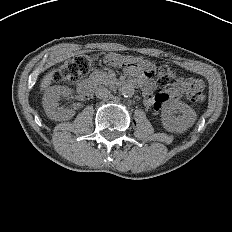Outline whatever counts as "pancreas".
Segmentation results:
<instances>
[{
  "instance_id": "1",
  "label": "pancreas",
  "mask_w": 232,
  "mask_h": 232,
  "mask_svg": "<svg viewBox=\"0 0 232 232\" xmlns=\"http://www.w3.org/2000/svg\"><path fill=\"white\" fill-rule=\"evenodd\" d=\"M103 77H104V80H108V78H107V76H106V75H104Z\"/></svg>"
}]
</instances>
